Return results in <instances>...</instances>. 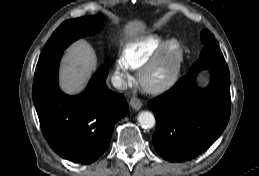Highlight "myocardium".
Instances as JSON below:
<instances>
[{
	"label": "myocardium",
	"instance_id": "myocardium-1",
	"mask_svg": "<svg viewBox=\"0 0 259 176\" xmlns=\"http://www.w3.org/2000/svg\"><path fill=\"white\" fill-rule=\"evenodd\" d=\"M171 62L169 72L154 78L155 70L166 61ZM184 61V44L178 38L167 39L160 49L139 69V81L144 90L161 93L170 89L179 79Z\"/></svg>",
	"mask_w": 259,
	"mask_h": 176
}]
</instances>
